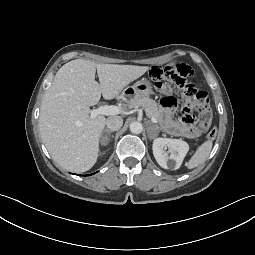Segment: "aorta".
Wrapping results in <instances>:
<instances>
[{"instance_id": "762f6f07", "label": "aorta", "mask_w": 255, "mask_h": 255, "mask_svg": "<svg viewBox=\"0 0 255 255\" xmlns=\"http://www.w3.org/2000/svg\"><path fill=\"white\" fill-rule=\"evenodd\" d=\"M143 130V126L140 122H132L130 124V131L133 133V134H140Z\"/></svg>"}]
</instances>
